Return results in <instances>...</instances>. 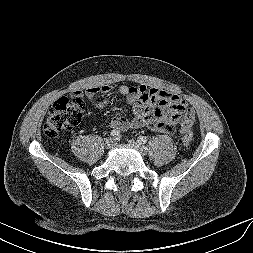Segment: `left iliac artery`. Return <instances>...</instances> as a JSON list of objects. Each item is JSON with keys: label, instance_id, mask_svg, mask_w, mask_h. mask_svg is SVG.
I'll list each match as a JSON object with an SVG mask.
<instances>
[{"label": "left iliac artery", "instance_id": "44dca946", "mask_svg": "<svg viewBox=\"0 0 253 253\" xmlns=\"http://www.w3.org/2000/svg\"><path fill=\"white\" fill-rule=\"evenodd\" d=\"M138 142L140 144H146L147 143V138L145 136H139L138 137Z\"/></svg>", "mask_w": 253, "mask_h": 253}]
</instances>
